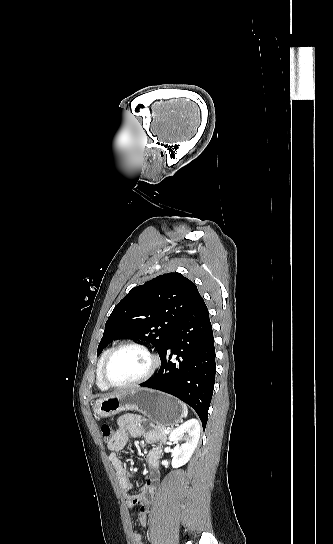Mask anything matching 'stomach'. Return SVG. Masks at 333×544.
<instances>
[{
	"label": "stomach",
	"mask_w": 333,
	"mask_h": 544,
	"mask_svg": "<svg viewBox=\"0 0 333 544\" xmlns=\"http://www.w3.org/2000/svg\"><path fill=\"white\" fill-rule=\"evenodd\" d=\"M95 414L106 418L124 411H138L157 426L168 427L182 417L181 402L163 392L137 388L96 400Z\"/></svg>",
	"instance_id": "stomach-1"
}]
</instances>
